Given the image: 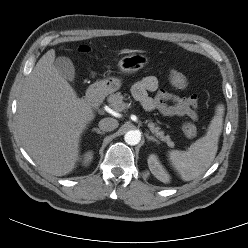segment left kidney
Here are the masks:
<instances>
[{
    "instance_id": "5707ae66",
    "label": "left kidney",
    "mask_w": 248,
    "mask_h": 248,
    "mask_svg": "<svg viewBox=\"0 0 248 248\" xmlns=\"http://www.w3.org/2000/svg\"><path fill=\"white\" fill-rule=\"evenodd\" d=\"M148 166L151 173L161 182L168 183L170 181L169 174L165 171L163 166L158 161L156 155H150L148 158Z\"/></svg>"
}]
</instances>
